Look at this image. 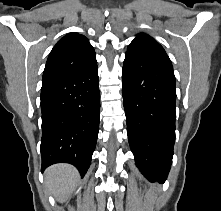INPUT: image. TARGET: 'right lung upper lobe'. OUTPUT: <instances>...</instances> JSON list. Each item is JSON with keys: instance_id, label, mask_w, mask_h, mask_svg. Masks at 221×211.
<instances>
[{"instance_id": "right-lung-upper-lobe-1", "label": "right lung upper lobe", "mask_w": 221, "mask_h": 211, "mask_svg": "<svg viewBox=\"0 0 221 211\" xmlns=\"http://www.w3.org/2000/svg\"><path fill=\"white\" fill-rule=\"evenodd\" d=\"M94 48L78 33H69L54 46L43 73V83L91 68L97 64Z\"/></svg>"}]
</instances>
